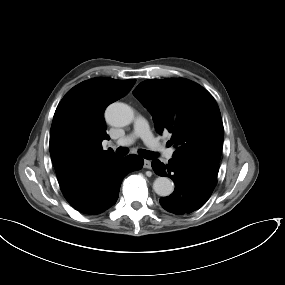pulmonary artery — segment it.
I'll use <instances>...</instances> for the list:
<instances>
[{
    "label": "pulmonary artery",
    "mask_w": 285,
    "mask_h": 285,
    "mask_svg": "<svg viewBox=\"0 0 285 285\" xmlns=\"http://www.w3.org/2000/svg\"><path fill=\"white\" fill-rule=\"evenodd\" d=\"M136 137H141L149 148L162 151L166 160H172L174 158L175 148H166L165 145L152 134L147 122L143 118H138L135 121L134 132L131 135L116 141L114 145H128L132 143Z\"/></svg>",
    "instance_id": "obj_1"
}]
</instances>
